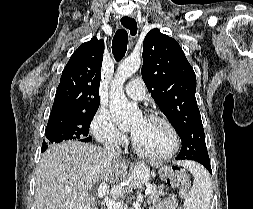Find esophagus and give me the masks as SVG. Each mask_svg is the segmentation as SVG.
<instances>
[{"instance_id": "34e87169", "label": "esophagus", "mask_w": 253, "mask_h": 209, "mask_svg": "<svg viewBox=\"0 0 253 209\" xmlns=\"http://www.w3.org/2000/svg\"><path fill=\"white\" fill-rule=\"evenodd\" d=\"M120 23L124 28H127V25H131L133 30L130 32V29L127 28L130 32L131 37H135L138 33V24L136 17L134 15H124L120 18Z\"/></svg>"}]
</instances>
